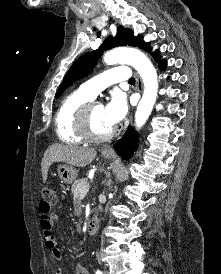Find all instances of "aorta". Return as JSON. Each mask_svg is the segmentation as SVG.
<instances>
[{
    "mask_svg": "<svg viewBox=\"0 0 221 274\" xmlns=\"http://www.w3.org/2000/svg\"><path fill=\"white\" fill-rule=\"evenodd\" d=\"M104 62L108 65L125 63L134 67L140 74L144 92L135 113V124L141 128L151 114L158 92L156 69L144 53L133 48H116L104 55Z\"/></svg>",
    "mask_w": 221,
    "mask_h": 274,
    "instance_id": "obj_1",
    "label": "aorta"
}]
</instances>
